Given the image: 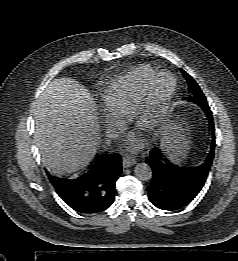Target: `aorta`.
Wrapping results in <instances>:
<instances>
[{
	"label": "aorta",
	"mask_w": 238,
	"mask_h": 261,
	"mask_svg": "<svg viewBox=\"0 0 238 261\" xmlns=\"http://www.w3.org/2000/svg\"><path fill=\"white\" fill-rule=\"evenodd\" d=\"M134 173L141 181H148L152 178V169L146 163H138L134 168Z\"/></svg>",
	"instance_id": "762f6f07"
}]
</instances>
